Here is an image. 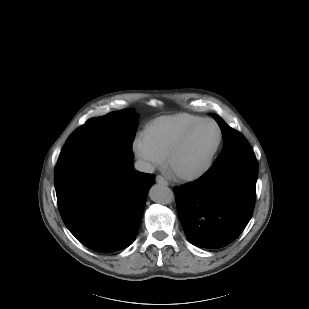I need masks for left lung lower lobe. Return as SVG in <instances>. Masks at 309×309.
Wrapping results in <instances>:
<instances>
[{
  "instance_id": "obj_1",
  "label": "left lung lower lobe",
  "mask_w": 309,
  "mask_h": 309,
  "mask_svg": "<svg viewBox=\"0 0 309 309\" xmlns=\"http://www.w3.org/2000/svg\"><path fill=\"white\" fill-rule=\"evenodd\" d=\"M257 175L251 150L213 164L194 183L176 187L178 215L188 241L208 249L233 242L253 214Z\"/></svg>"
}]
</instances>
